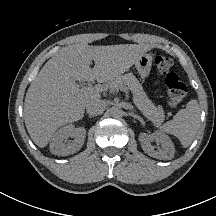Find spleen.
Returning a JSON list of instances; mask_svg holds the SVG:
<instances>
[{
    "instance_id": "1",
    "label": "spleen",
    "mask_w": 216,
    "mask_h": 216,
    "mask_svg": "<svg viewBox=\"0 0 216 216\" xmlns=\"http://www.w3.org/2000/svg\"><path fill=\"white\" fill-rule=\"evenodd\" d=\"M200 123V108L197 100H190L185 109L180 110L172 120L166 122L164 132L177 137L183 147H188L194 140Z\"/></svg>"
}]
</instances>
